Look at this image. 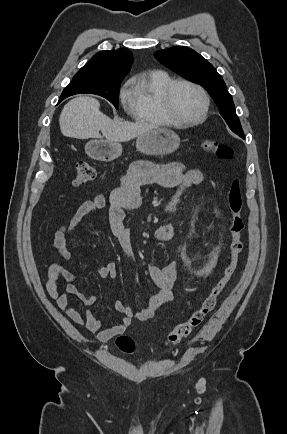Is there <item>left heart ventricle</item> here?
Returning a JSON list of instances; mask_svg holds the SVG:
<instances>
[{"label":"left heart ventricle","mask_w":287,"mask_h":434,"mask_svg":"<svg viewBox=\"0 0 287 434\" xmlns=\"http://www.w3.org/2000/svg\"><path fill=\"white\" fill-rule=\"evenodd\" d=\"M172 107L175 115L180 119L197 117L203 107L199 92L188 85H178L172 95Z\"/></svg>","instance_id":"left-heart-ventricle-1"}]
</instances>
